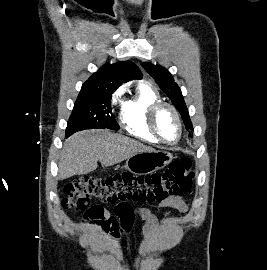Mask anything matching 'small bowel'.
Masks as SVG:
<instances>
[{"label":"small bowel","instance_id":"c3829d8e","mask_svg":"<svg viewBox=\"0 0 267 270\" xmlns=\"http://www.w3.org/2000/svg\"><path fill=\"white\" fill-rule=\"evenodd\" d=\"M159 208L163 211L164 218H170L172 209L186 212L188 205L177 196L161 202ZM135 217L141 219L145 224L144 229L140 232L143 238L149 240L157 235L160 224L158 217L147 208H133L127 202H119L116 205L115 216H111L102 206H94L91 211L85 213L82 224L119 237L129 231Z\"/></svg>","mask_w":267,"mask_h":270}]
</instances>
